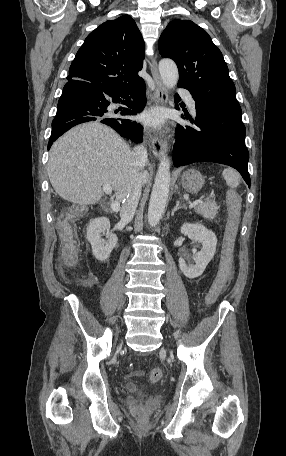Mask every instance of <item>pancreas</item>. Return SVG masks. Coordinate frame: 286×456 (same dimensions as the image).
Listing matches in <instances>:
<instances>
[{
	"instance_id": "1",
	"label": "pancreas",
	"mask_w": 286,
	"mask_h": 456,
	"mask_svg": "<svg viewBox=\"0 0 286 456\" xmlns=\"http://www.w3.org/2000/svg\"><path fill=\"white\" fill-rule=\"evenodd\" d=\"M219 206L214 200H209L197 205L194 210L206 219H214L217 215Z\"/></svg>"
}]
</instances>
